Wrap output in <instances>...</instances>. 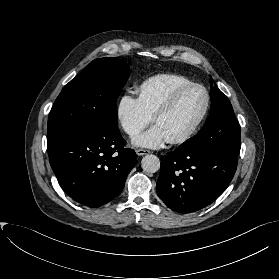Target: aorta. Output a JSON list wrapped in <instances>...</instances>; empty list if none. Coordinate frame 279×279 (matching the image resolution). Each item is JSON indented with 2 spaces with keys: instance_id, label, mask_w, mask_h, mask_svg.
Returning <instances> with one entry per match:
<instances>
[{
  "instance_id": "aorta-1",
  "label": "aorta",
  "mask_w": 279,
  "mask_h": 279,
  "mask_svg": "<svg viewBox=\"0 0 279 279\" xmlns=\"http://www.w3.org/2000/svg\"><path fill=\"white\" fill-rule=\"evenodd\" d=\"M142 169L147 173H155L160 169V160L157 156L148 154L141 161Z\"/></svg>"
}]
</instances>
